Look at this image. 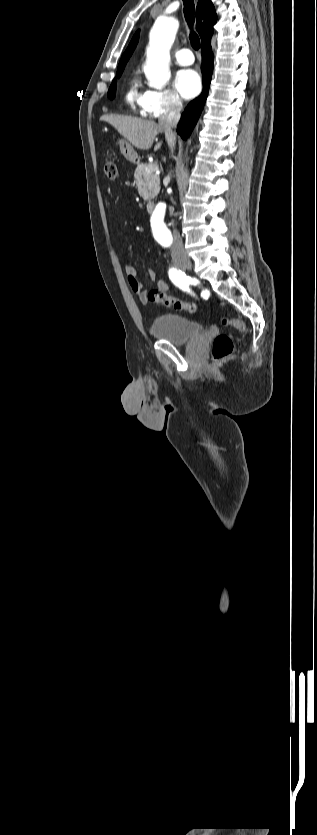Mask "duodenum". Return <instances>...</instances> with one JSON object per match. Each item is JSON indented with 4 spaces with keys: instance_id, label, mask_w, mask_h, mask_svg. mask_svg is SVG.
Returning a JSON list of instances; mask_svg holds the SVG:
<instances>
[{
    "instance_id": "obj_1",
    "label": "duodenum",
    "mask_w": 317,
    "mask_h": 835,
    "mask_svg": "<svg viewBox=\"0 0 317 835\" xmlns=\"http://www.w3.org/2000/svg\"><path fill=\"white\" fill-rule=\"evenodd\" d=\"M154 207H155V202H154V201H152V200H149V201L147 202V204H146V209H147V211H148V212H152V211H153V209H154Z\"/></svg>"
}]
</instances>
